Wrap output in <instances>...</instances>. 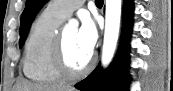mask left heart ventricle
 <instances>
[{"instance_id":"1","label":"left heart ventricle","mask_w":173,"mask_h":91,"mask_svg":"<svg viewBox=\"0 0 173 91\" xmlns=\"http://www.w3.org/2000/svg\"><path fill=\"white\" fill-rule=\"evenodd\" d=\"M64 40L67 60L74 70L83 68L90 58V54L83 51L77 40V29L67 28L64 30Z\"/></svg>"}]
</instances>
